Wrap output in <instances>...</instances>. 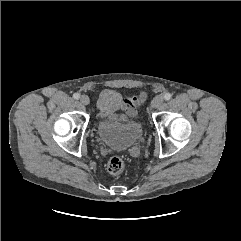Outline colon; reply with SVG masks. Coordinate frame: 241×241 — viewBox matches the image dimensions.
Returning <instances> with one entry per match:
<instances>
[{"instance_id":"1","label":"colon","mask_w":241,"mask_h":241,"mask_svg":"<svg viewBox=\"0 0 241 241\" xmlns=\"http://www.w3.org/2000/svg\"><path fill=\"white\" fill-rule=\"evenodd\" d=\"M125 168L124 160L119 156H114L107 163V170L110 174L117 175L123 172Z\"/></svg>"}]
</instances>
